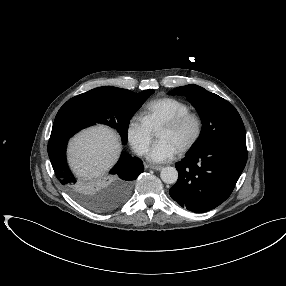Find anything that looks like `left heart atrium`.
I'll return each mask as SVG.
<instances>
[{"label": "left heart atrium", "mask_w": 286, "mask_h": 286, "mask_svg": "<svg viewBox=\"0 0 286 286\" xmlns=\"http://www.w3.org/2000/svg\"><path fill=\"white\" fill-rule=\"evenodd\" d=\"M179 150L168 140H159L148 153V159L155 163L172 160Z\"/></svg>", "instance_id": "1"}]
</instances>
